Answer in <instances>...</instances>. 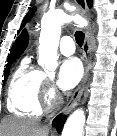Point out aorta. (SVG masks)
Instances as JSON below:
<instances>
[{
  "mask_svg": "<svg viewBox=\"0 0 117 136\" xmlns=\"http://www.w3.org/2000/svg\"><path fill=\"white\" fill-rule=\"evenodd\" d=\"M73 20L81 22L79 18L68 15L61 9L48 12L41 20L38 63L49 72H53L57 67L61 26ZM84 123V111L82 109L75 110L67 119L61 136H83Z\"/></svg>",
  "mask_w": 117,
  "mask_h": 136,
  "instance_id": "1",
  "label": "aorta"
}]
</instances>
